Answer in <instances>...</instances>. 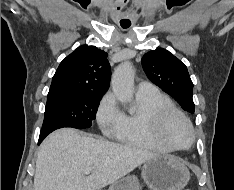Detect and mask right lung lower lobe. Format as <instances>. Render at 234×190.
Returning a JSON list of instances; mask_svg holds the SVG:
<instances>
[{
	"label": "right lung lower lobe",
	"instance_id": "98d812e1",
	"mask_svg": "<svg viewBox=\"0 0 234 190\" xmlns=\"http://www.w3.org/2000/svg\"><path fill=\"white\" fill-rule=\"evenodd\" d=\"M44 138H45L44 136H40V137H39V143H40Z\"/></svg>",
	"mask_w": 234,
	"mask_h": 190
}]
</instances>
